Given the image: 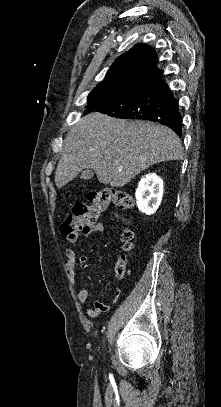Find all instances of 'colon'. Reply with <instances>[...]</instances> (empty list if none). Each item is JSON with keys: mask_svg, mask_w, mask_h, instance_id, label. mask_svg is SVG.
<instances>
[{"mask_svg": "<svg viewBox=\"0 0 221 407\" xmlns=\"http://www.w3.org/2000/svg\"><path fill=\"white\" fill-rule=\"evenodd\" d=\"M89 203H77L73 212L69 214L60 226V232L64 236L75 240L81 234L97 233L99 228V213L105 211L112 203L120 209H130L134 205V198L117 187H108L100 191L91 192L88 195ZM133 232L123 229L120 240L124 250L132 246ZM124 261H118L115 265V275L124 276Z\"/></svg>", "mask_w": 221, "mask_h": 407, "instance_id": "1", "label": "colon"}]
</instances>
